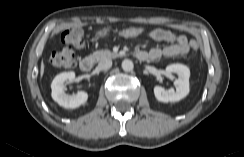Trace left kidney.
<instances>
[{
  "label": "left kidney",
  "mask_w": 244,
  "mask_h": 157,
  "mask_svg": "<svg viewBox=\"0 0 244 157\" xmlns=\"http://www.w3.org/2000/svg\"><path fill=\"white\" fill-rule=\"evenodd\" d=\"M168 74L176 73L178 79L175 81L176 90H165L161 86L154 87V95L160 102H178L185 98L189 93L190 70L183 64H171L166 67Z\"/></svg>",
  "instance_id": "left-kidney-1"
}]
</instances>
